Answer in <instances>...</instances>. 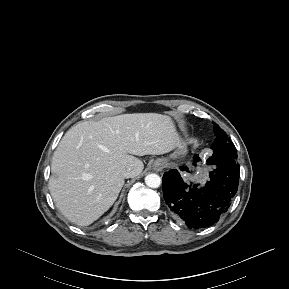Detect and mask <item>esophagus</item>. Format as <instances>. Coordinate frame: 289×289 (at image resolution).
Returning <instances> with one entry per match:
<instances>
[{
  "mask_svg": "<svg viewBox=\"0 0 289 289\" xmlns=\"http://www.w3.org/2000/svg\"><path fill=\"white\" fill-rule=\"evenodd\" d=\"M158 168L161 169V168H162V165H160Z\"/></svg>",
  "mask_w": 289,
  "mask_h": 289,
  "instance_id": "obj_1",
  "label": "esophagus"
}]
</instances>
